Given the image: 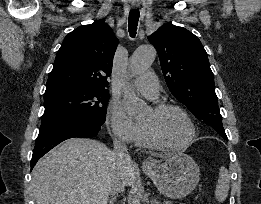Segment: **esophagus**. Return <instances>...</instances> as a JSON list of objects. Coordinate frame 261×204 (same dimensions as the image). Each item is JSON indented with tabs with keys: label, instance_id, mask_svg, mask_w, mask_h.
Wrapping results in <instances>:
<instances>
[{
	"label": "esophagus",
	"instance_id": "obj_1",
	"mask_svg": "<svg viewBox=\"0 0 261 204\" xmlns=\"http://www.w3.org/2000/svg\"><path fill=\"white\" fill-rule=\"evenodd\" d=\"M142 164H143V167H145V168H149V167L153 166V162L151 160H144Z\"/></svg>",
	"mask_w": 261,
	"mask_h": 204
}]
</instances>
